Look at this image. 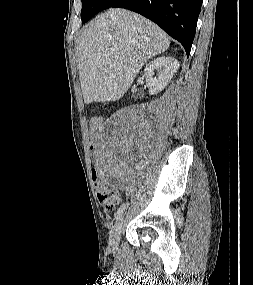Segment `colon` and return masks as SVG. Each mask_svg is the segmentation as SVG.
I'll list each match as a JSON object with an SVG mask.
<instances>
[{
  "mask_svg": "<svg viewBox=\"0 0 253 285\" xmlns=\"http://www.w3.org/2000/svg\"><path fill=\"white\" fill-rule=\"evenodd\" d=\"M100 123H101L100 118L96 116L92 117L90 120L91 143L89 146V151H90L89 168L91 171V176H93V180H95V188L99 203L105 211L111 212L114 210L115 206L119 202V193L115 189L99 181L102 180V175H100L99 168L97 167L96 164L98 163L96 150L98 145L97 128L99 127Z\"/></svg>",
  "mask_w": 253,
  "mask_h": 285,
  "instance_id": "5ec220e1",
  "label": "colon"
}]
</instances>
